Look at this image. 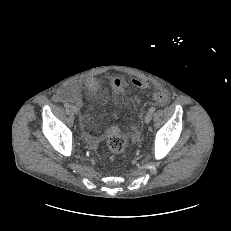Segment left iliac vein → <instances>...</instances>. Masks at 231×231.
Here are the masks:
<instances>
[{
    "label": "left iliac vein",
    "instance_id": "obj_1",
    "mask_svg": "<svg viewBox=\"0 0 231 231\" xmlns=\"http://www.w3.org/2000/svg\"><path fill=\"white\" fill-rule=\"evenodd\" d=\"M151 119H152V113L147 112L144 118L145 124H149L151 122Z\"/></svg>",
    "mask_w": 231,
    "mask_h": 231
}]
</instances>
